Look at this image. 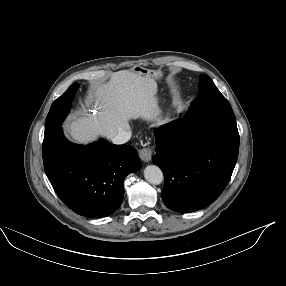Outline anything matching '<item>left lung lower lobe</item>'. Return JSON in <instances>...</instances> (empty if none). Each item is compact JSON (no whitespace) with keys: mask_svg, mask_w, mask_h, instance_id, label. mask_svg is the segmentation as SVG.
<instances>
[{"mask_svg":"<svg viewBox=\"0 0 286 286\" xmlns=\"http://www.w3.org/2000/svg\"><path fill=\"white\" fill-rule=\"evenodd\" d=\"M152 161L163 171L161 193L176 212L200 210L223 192L239 151L236 120L214 116L184 117L155 131Z\"/></svg>","mask_w":286,"mask_h":286,"instance_id":"0a47b994","label":"left lung lower lobe"}]
</instances>
